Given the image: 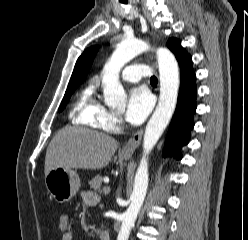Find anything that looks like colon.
Segmentation results:
<instances>
[{"label": "colon", "mask_w": 248, "mask_h": 240, "mask_svg": "<svg viewBox=\"0 0 248 240\" xmlns=\"http://www.w3.org/2000/svg\"><path fill=\"white\" fill-rule=\"evenodd\" d=\"M58 228L61 232H65L70 228V218L67 214H61L58 219Z\"/></svg>", "instance_id": "1"}]
</instances>
